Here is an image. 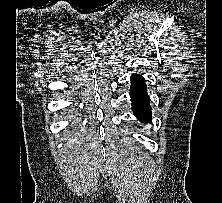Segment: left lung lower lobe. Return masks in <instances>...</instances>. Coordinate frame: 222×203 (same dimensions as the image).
<instances>
[{"mask_svg": "<svg viewBox=\"0 0 222 203\" xmlns=\"http://www.w3.org/2000/svg\"><path fill=\"white\" fill-rule=\"evenodd\" d=\"M131 100L134 114L142 122H148L151 118L149 96L147 95L145 79L137 74L131 77Z\"/></svg>", "mask_w": 222, "mask_h": 203, "instance_id": "obj_1", "label": "left lung lower lobe"}]
</instances>
